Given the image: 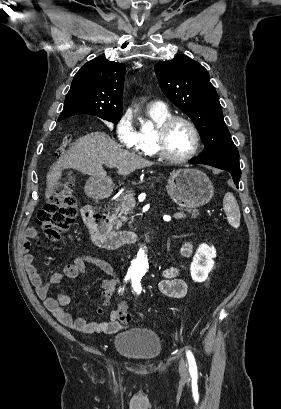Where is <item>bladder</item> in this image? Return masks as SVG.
Here are the masks:
<instances>
[{
  "label": "bladder",
  "instance_id": "bladder-1",
  "mask_svg": "<svg viewBox=\"0 0 281 409\" xmlns=\"http://www.w3.org/2000/svg\"><path fill=\"white\" fill-rule=\"evenodd\" d=\"M115 353L135 361H153L163 353L160 335L149 327L120 330L113 338Z\"/></svg>",
  "mask_w": 281,
  "mask_h": 409
}]
</instances>
